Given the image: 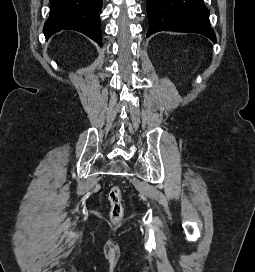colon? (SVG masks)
Segmentation results:
<instances>
[{
	"mask_svg": "<svg viewBox=\"0 0 255 272\" xmlns=\"http://www.w3.org/2000/svg\"><path fill=\"white\" fill-rule=\"evenodd\" d=\"M109 218L113 223H120L124 217V206L122 200V190L118 185H114L108 192Z\"/></svg>",
	"mask_w": 255,
	"mask_h": 272,
	"instance_id": "5ec220e1",
	"label": "colon"
}]
</instances>
